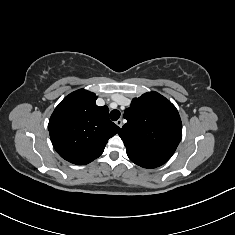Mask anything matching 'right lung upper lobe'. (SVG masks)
Returning <instances> with one entry per match:
<instances>
[{
    "instance_id": "obj_1",
    "label": "right lung upper lobe",
    "mask_w": 235,
    "mask_h": 235,
    "mask_svg": "<svg viewBox=\"0 0 235 235\" xmlns=\"http://www.w3.org/2000/svg\"><path fill=\"white\" fill-rule=\"evenodd\" d=\"M97 96L84 89L66 96L52 113L48 130L57 153L65 160L85 165L98 158L108 139L120 128L108 117L107 106L96 105Z\"/></svg>"
}]
</instances>
